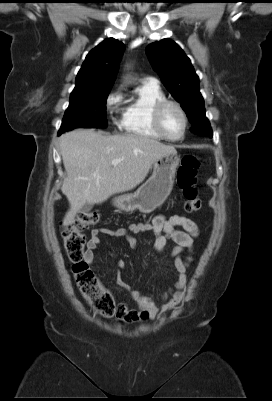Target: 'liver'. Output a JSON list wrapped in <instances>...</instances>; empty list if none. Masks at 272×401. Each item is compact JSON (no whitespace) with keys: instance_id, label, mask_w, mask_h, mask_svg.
Returning a JSON list of instances; mask_svg holds the SVG:
<instances>
[{"instance_id":"1","label":"liver","mask_w":272,"mask_h":401,"mask_svg":"<svg viewBox=\"0 0 272 401\" xmlns=\"http://www.w3.org/2000/svg\"><path fill=\"white\" fill-rule=\"evenodd\" d=\"M66 170L61 191L70 208L63 224L71 225L86 204H100L110 196L134 189L144 181L160 157L177 153L175 147L137 135H109L93 129H75L60 137ZM120 159L117 166L112 161Z\"/></svg>"}]
</instances>
